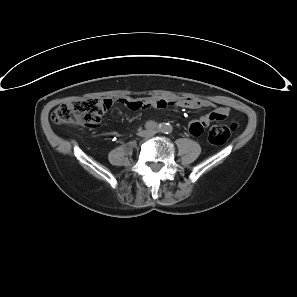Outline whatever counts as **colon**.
I'll return each mask as SVG.
<instances>
[{"label":"colon","mask_w":297,"mask_h":297,"mask_svg":"<svg viewBox=\"0 0 297 297\" xmlns=\"http://www.w3.org/2000/svg\"><path fill=\"white\" fill-rule=\"evenodd\" d=\"M111 100L89 98L70 101L58 106L52 113V121L56 124H84L86 121L100 122L111 106ZM237 123L230 125H214L208 134L210 143L222 145L237 129Z\"/></svg>","instance_id":"5ec220e1"}]
</instances>
